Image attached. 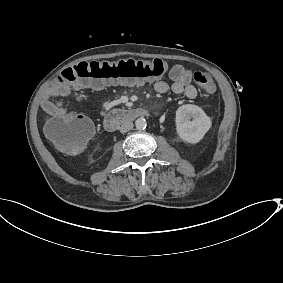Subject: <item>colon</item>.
Here are the masks:
<instances>
[{
  "mask_svg": "<svg viewBox=\"0 0 283 283\" xmlns=\"http://www.w3.org/2000/svg\"><path fill=\"white\" fill-rule=\"evenodd\" d=\"M168 68V64L160 59L83 62L62 71L57 76L56 82L94 89H100L110 83L133 85L158 79L167 72ZM193 79L201 90L208 94L214 93L216 86L209 73L196 72ZM46 133L60 150L77 153L91 138L93 125L86 116L71 112L61 117H49L46 122Z\"/></svg>",
  "mask_w": 283,
  "mask_h": 283,
  "instance_id": "5ec220e1",
  "label": "colon"
}]
</instances>
